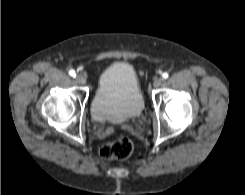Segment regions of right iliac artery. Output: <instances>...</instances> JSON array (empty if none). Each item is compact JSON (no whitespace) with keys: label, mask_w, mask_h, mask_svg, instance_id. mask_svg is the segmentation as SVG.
<instances>
[{"label":"right iliac artery","mask_w":245,"mask_h":195,"mask_svg":"<svg viewBox=\"0 0 245 195\" xmlns=\"http://www.w3.org/2000/svg\"><path fill=\"white\" fill-rule=\"evenodd\" d=\"M69 75L72 76V77H75L76 76V73L74 70H70L69 71Z\"/></svg>","instance_id":"right-iliac-artery-1"}]
</instances>
